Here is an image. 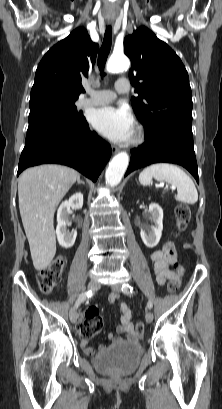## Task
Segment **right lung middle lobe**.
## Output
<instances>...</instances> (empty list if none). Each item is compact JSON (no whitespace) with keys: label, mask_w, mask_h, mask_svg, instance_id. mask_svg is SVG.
Here are the masks:
<instances>
[{"label":"right lung middle lobe","mask_w":222,"mask_h":409,"mask_svg":"<svg viewBox=\"0 0 222 409\" xmlns=\"http://www.w3.org/2000/svg\"><path fill=\"white\" fill-rule=\"evenodd\" d=\"M74 102H50L30 108L27 137L43 129L66 132L83 126L85 117Z\"/></svg>","instance_id":"1"}]
</instances>
